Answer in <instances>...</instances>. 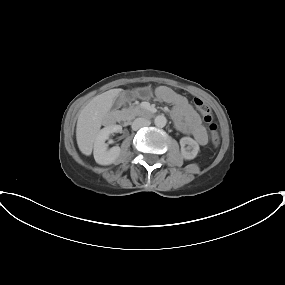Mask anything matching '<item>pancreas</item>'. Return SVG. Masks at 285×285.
Returning a JSON list of instances; mask_svg holds the SVG:
<instances>
[{
	"instance_id": "obj_1",
	"label": "pancreas",
	"mask_w": 285,
	"mask_h": 285,
	"mask_svg": "<svg viewBox=\"0 0 285 285\" xmlns=\"http://www.w3.org/2000/svg\"><path fill=\"white\" fill-rule=\"evenodd\" d=\"M125 111L128 113V119H133L135 116L139 115L140 109L137 106H131Z\"/></svg>"
}]
</instances>
